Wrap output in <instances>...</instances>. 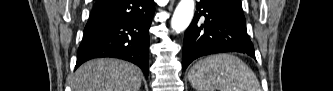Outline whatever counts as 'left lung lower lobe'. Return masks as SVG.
I'll return each mask as SVG.
<instances>
[{
	"instance_id": "0a47b994",
	"label": "left lung lower lobe",
	"mask_w": 333,
	"mask_h": 91,
	"mask_svg": "<svg viewBox=\"0 0 333 91\" xmlns=\"http://www.w3.org/2000/svg\"><path fill=\"white\" fill-rule=\"evenodd\" d=\"M183 43V70L196 58L241 52L255 58L240 0H201Z\"/></svg>"
}]
</instances>
